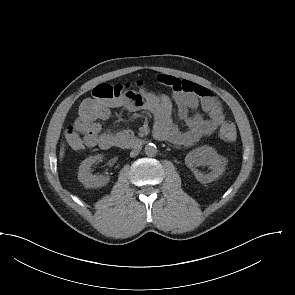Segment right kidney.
I'll return each instance as SVG.
<instances>
[{
    "instance_id": "1",
    "label": "right kidney",
    "mask_w": 295,
    "mask_h": 295,
    "mask_svg": "<svg viewBox=\"0 0 295 295\" xmlns=\"http://www.w3.org/2000/svg\"><path fill=\"white\" fill-rule=\"evenodd\" d=\"M100 159H102L101 155L90 156L79 166L78 179L86 188L103 187L110 180L108 177L96 176L91 173V166Z\"/></svg>"
}]
</instances>
